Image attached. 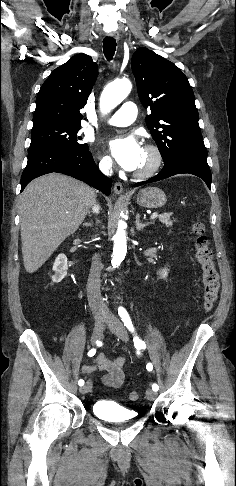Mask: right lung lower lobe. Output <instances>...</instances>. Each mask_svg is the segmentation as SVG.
I'll use <instances>...</instances> for the list:
<instances>
[{
  "label": "right lung lower lobe",
  "instance_id": "obj_1",
  "mask_svg": "<svg viewBox=\"0 0 236 486\" xmlns=\"http://www.w3.org/2000/svg\"><path fill=\"white\" fill-rule=\"evenodd\" d=\"M58 172L86 182L104 194L111 193V181L95 165L87 149H64L51 146L29 148L28 162L21 176V192L41 175Z\"/></svg>",
  "mask_w": 236,
  "mask_h": 486
}]
</instances>
